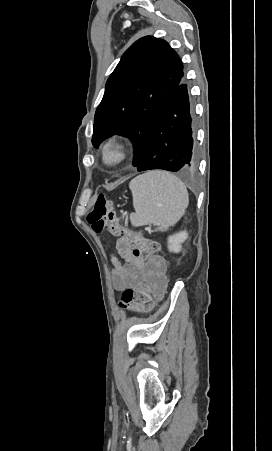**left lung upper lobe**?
Instances as JSON below:
<instances>
[{
	"label": "left lung upper lobe",
	"instance_id": "left-lung-upper-lobe-1",
	"mask_svg": "<svg viewBox=\"0 0 272 451\" xmlns=\"http://www.w3.org/2000/svg\"><path fill=\"white\" fill-rule=\"evenodd\" d=\"M184 79L177 53L162 39L146 36L122 56L110 75L94 118L92 144L125 135L134 140L137 167L168 98Z\"/></svg>",
	"mask_w": 272,
	"mask_h": 451
}]
</instances>
